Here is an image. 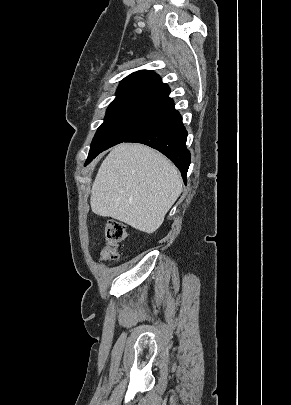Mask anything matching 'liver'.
Returning <instances> with one entry per match:
<instances>
[{
  "label": "liver",
  "mask_w": 291,
  "mask_h": 405,
  "mask_svg": "<svg viewBox=\"0 0 291 405\" xmlns=\"http://www.w3.org/2000/svg\"><path fill=\"white\" fill-rule=\"evenodd\" d=\"M182 185L178 169L159 152L142 144H119L98 170L92 211L150 234L162 225Z\"/></svg>",
  "instance_id": "obj_1"
}]
</instances>
